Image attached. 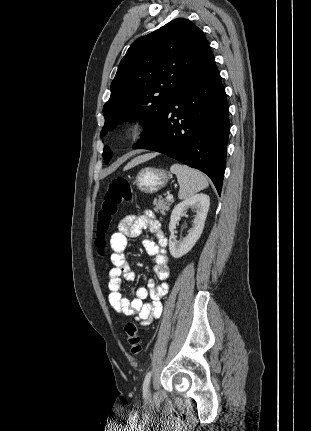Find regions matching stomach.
<instances>
[{
	"mask_svg": "<svg viewBox=\"0 0 311 431\" xmlns=\"http://www.w3.org/2000/svg\"><path fill=\"white\" fill-rule=\"evenodd\" d=\"M170 180L169 172L159 170V168H142L135 178L137 190L143 194H156L162 188H165Z\"/></svg>",
	"mask_w": 311,
	"mask_h": 431,
	"instance_id": "stomach-1",
	"label": "stomach"
}]
</instances>
